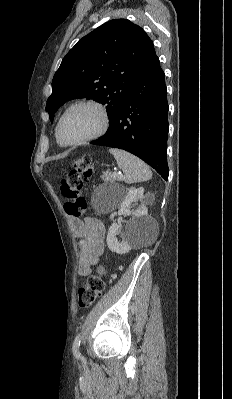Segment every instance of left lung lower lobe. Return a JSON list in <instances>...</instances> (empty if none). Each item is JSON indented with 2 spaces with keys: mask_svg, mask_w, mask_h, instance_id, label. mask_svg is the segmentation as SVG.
I'll return each instance as SVG.
<instances>
[{
  "mask_svg": "<svg viewBox=\"0 0 232 399\" xmlns=\"http://www.w3.org/2000/svg\"><path fill=\"white\" fill-rule=\"evenodd\" d=\"M168 129L165 77L152 42L113 123L91 144L128 151L153 167L167 181Z\"/></svg>",
  "mask_w": 232,
  "mask_h": 399,
  "instance_id": "1",
  "label": "left lung lower lobe"
}]
</instances>
